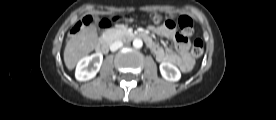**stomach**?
I'll use <instances>...</instances> for the list:
<instances>
[{
	"label": "stomach",
	"mask_w": 276,
	"mask_h": 120,
	"mask_svg": "<svg viewBox=\"0 0 276 120\" xmlns=\"http://www.w3.org/2000/svg\"><path fill=\"white\" fill-rule=\"evenodd\" d=\"M152 22L155 24V25H159L162 21V16L158 15V14H154L152 16Z\"/></svg>",
	"instance_id": "0dacf381"
}]
</instances>
